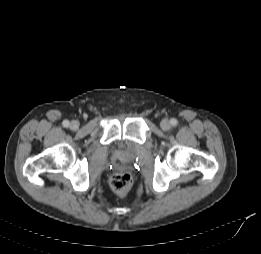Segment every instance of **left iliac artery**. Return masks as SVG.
Here are the masks:
<instances>
[{"label":"left iliac artery","mask_w":261,"mask_h":254,"mask_svg":"<svg viewBox=\"0 0 261 254\" xmlns=\"http://www.w3.org/2000/svg\"><path fill=\"white\" fill-rule=\"evenodd\" d=\"M170 123L172 126H176L178 124V121L175 118H173L171 119Z\"/></svg>","instance_id":"left-iliac-artery-1"}]
</instances>
